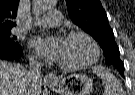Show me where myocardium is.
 <instances>
[{
    "instance_id": "obj_1",
    "label": "myocardium",
    "mask_w": 135,
    "mask_h": 95,
    "mask_svg": "<svg viewBox=\"0 0 135 95\" xmlns=\"http://www.w3.org/2000/svg\"><path fill=\"white\" fill-rule=\"evenodd\" d=\"M72 37H83L85 38L91 48H92V56L89 60L83 62V63H79V64H65L62 62H59V66L63 69H67V70H79V69H84L86 67H89L91 65H93L94 63H96L100 57V48L98 43L96 42V40L87 32L85 31H72L69 32L66 35V38H72Z\"/></svg>"
}]
</instances>
